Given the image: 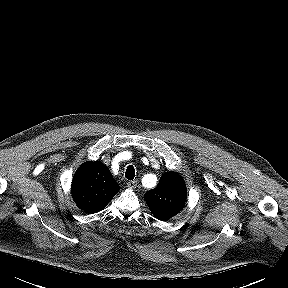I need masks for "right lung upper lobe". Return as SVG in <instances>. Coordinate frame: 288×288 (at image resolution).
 <instances>
[{"label":"right lung upper lobe","mask_w":288,"mask_h":288,"mask_svg":"<svg viewBox=\"0 0 288 288\" xmlns=\"http://www.w3.org/2000/svg\"><path fill=\"white\" fill-rule=\"evenodd\" d=\"M118 191L119 185L101 162H86L73 177V199L88 213L102 210Z\"/></svg>","instance_id":"obj_1"}]
</instances>
